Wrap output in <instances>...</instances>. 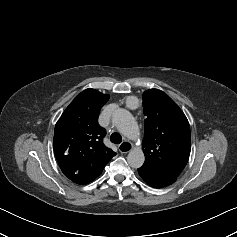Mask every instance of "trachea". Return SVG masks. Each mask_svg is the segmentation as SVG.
Here are the masks:
<instances>
[{"label":"trachea","mask_w":237,"mask_h":237,"mask_svg":"<svg viewBox=\"0 0 237 237\" xmlns=\"http://www.w3.org/2000/svg\"><path fill=\"white\" fill-rule=\"evenodd\" d=\"M110 140L114 144H120L122 142V137L119 133L115 132L111 134Z\"/></svg>","instance_id":"1"}]
</instances>
